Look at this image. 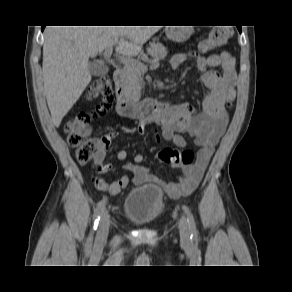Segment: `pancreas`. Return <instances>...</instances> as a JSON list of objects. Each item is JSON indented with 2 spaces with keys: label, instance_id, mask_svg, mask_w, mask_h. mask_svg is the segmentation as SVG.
<instances>
[{
  "label": "pancreas",
  "instance_id": "1",
  "mask_svg": "<svg viewBox=\"0 0 292 292\" xmlns=\"http://www.w3.org/2000/svg\"><path fill=\"white\" fill-rule=\"evenodd\" d=\"M147 53L154 59H164L167 56V49L159 42H150ZM139 61L136 64L124 66L122 71L121 86L125 95L131 99L137 98L141 90L142 75L144 71L138 68Z\"/></svg>",
  "mask_w": 292,
  "mask_h": 292
}]
</instances>
